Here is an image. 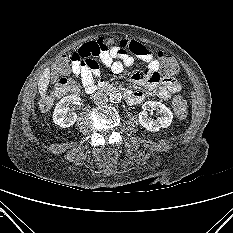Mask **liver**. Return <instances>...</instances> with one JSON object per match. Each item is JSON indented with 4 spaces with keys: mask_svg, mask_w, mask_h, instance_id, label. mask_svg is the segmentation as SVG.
<instances>
[{
    "mask_svg": "<svg viewBox=\"0 0 233 233\" xmlns=\"http://www.w3.org/2000/svg\"><path fill=\"white\" fill-rule=\"evenodd\" d=\"M49 81H50V70L49 68H46L38 82V89L42 99H44L46 96V90L48 88Z\"/></svg>",
    "mask_w": 233,
    "mask_h": 233,
    "instance_id": "1",
    "label": "liver"
}]
</instances>
